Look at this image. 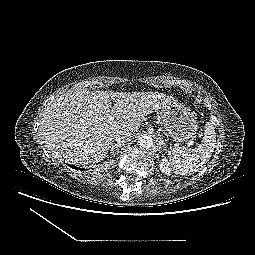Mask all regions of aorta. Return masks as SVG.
<instances>
[{
    "label": "aorta",
    "instance_id": "obj_1",
    "mask_svg": "<svg viewBox=\"0 0 255 255\" xmlns=\"http://www.w3.org/2000/svg\"><path fill=\"white\" fill-rule=\"evenodd\" d=\"M138 145L142 148L149 149L153 145V139L149 135H141L138 137Z\"/></svg>",
    "mask_w": 255,
    "mask_h": 255
}]
</instances>
